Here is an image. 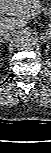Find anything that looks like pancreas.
Listing matches in <instances>:
<instances>
[{"label": "pancreas", "instance_id": "pancreas-1", "mask_svg": "<svg viewBox=\"0 0 51 153\" xmlns=\"http://www.w3.org/2000/svg\"><path fill=\"white\" fill-rule=\"evenodd\" d=\"M45 13L48 14L49 10L47 8L44 9Z\"/></svg>", "mask_w": 51, "mask_h": 153}]
</instances>
